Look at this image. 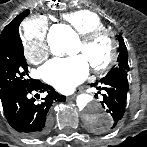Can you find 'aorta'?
Here are the masks:
<instances>
[{"label":"aorta","mask_w":147,"mask_h":147,"mask_svg":"<svg viewBox=\"0 0 147 147\" xmlns=\"http://www.w3.org/2000/svg\"><path fill=\"white\" fill-rule=\"evenodd\" d=\"M75 38V33L69 28L62 29L58 34L50 33L48 44L51 52L54 55L72 54ZM77 105L82 110L85 121L92 126L106 125L111 121V115L94 98L81 95L77 98Z\"/></svg>","instance_id":"1"}]
</instances>
